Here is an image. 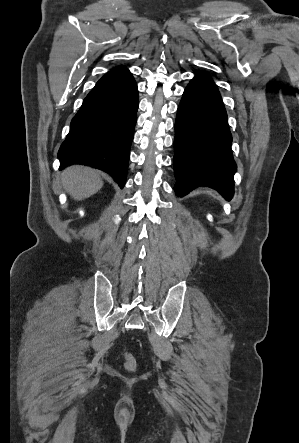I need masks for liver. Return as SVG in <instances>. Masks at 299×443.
Instances as JSON below:
<instances>
[{
    "label": "liver",
    "mask_w": 299,
    "mask_h": 443,
    "mask_svg": "<svg viewBox=\"0 0 299 443\" xmlns=\"http://www.w3.org/2000/svg\"><path fill=\"white\" fill-rule=\"evenodd\" d=\"M61 182L67 193L78 201L92 196L103 186L99 172L82 165L65 168L61 173Z\"/></svg>",
    "instance_id": "1"
}]
</instances>
